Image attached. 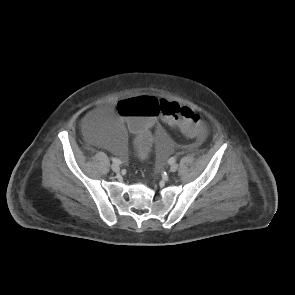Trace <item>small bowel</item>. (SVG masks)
Instances as JSON below:
<instances>
[{"label":"small bowel","mask_w":295,"mask_h":295,"mask_svg":"<svg viewBox=\"0 0 295 295\" xmlns=\"http://www.w3.org/2000/svg\"><path fill=\"white\" fill-rule=\"evenodd\" d=\"M149 97H151V96H149ZM127 100H129V99H127ZM164 122H166L167 124H169V125H172L169 121H164ZM159 123H158V121H156V123L153 125V127L155 126V125H158ZM153 129V128H152ZM150 133V132H149ZM200 139H202V138H200Z\"/></svg>","instance_id":"obj_1"}]
</instances>
